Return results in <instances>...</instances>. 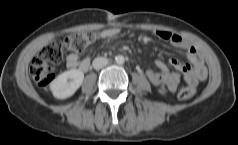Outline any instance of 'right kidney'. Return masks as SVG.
I'll return each instance as SVG.
<instances>
[{"instance_id":"obj_1","label":"right kidney","mask_w":238,"mask_h":145,"mask_svg":"<svg viewBox=\"0 0 238 145\" xmlns=\"http://www.w3.org/2000/svg\"><path fill=\"white\" fill-rule=\"evenodd\" d=\"M84 73L78 69H71L58 75L50 84V90L57 99L72 96L82 85Z\"/></svg>"}]
</instances>
